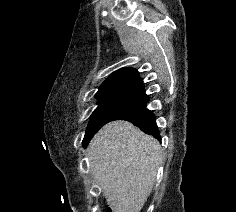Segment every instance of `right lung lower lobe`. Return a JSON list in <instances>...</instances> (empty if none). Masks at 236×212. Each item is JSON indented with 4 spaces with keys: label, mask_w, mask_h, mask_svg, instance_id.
I'll return each mask as SVG.
<instances>
[{
    "label": "right lung lower lobe",
    "mask_w": 236,
    "mask_h": 212,
    "mask_svg": "<svg viewBox=\"0 0 236 212\" xmlns=\"http://www.w3.org/2000/svg\"><path fill=\"white\" fill-rule=\"evenodd\" d=\"M149 102L148 95L145 94L144 84L140 82L130 92L126 100L118 107L113 116L106 122L113 120H126L138 126L144 133L151 134L161 141L160 133L155 122L153 111L147 109Z\"/></svg>",
    "instance_id": "obj_1"
}]
</instances>
